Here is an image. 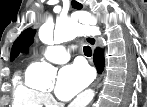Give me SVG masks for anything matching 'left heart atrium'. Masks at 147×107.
I'll use <instances>...</instances> for the list:
<instances>
[{"instance_id": "left-heart-atrium-1", "label": "left heart atrium", "mask_w": 147, "mask_h": 107, "mask_svg": "<svg viewBox=\"0 0 147 107\" xmlns=\"http://www.w3.org/2000/svg\"><path fill=\"white\" fill-rule=\"evenodd\" d=\"M90 81L91 72L87 66L81 63L67 65L58 74L55 94L61 100H70L81 92Z\"/></svg>"}]
</instances>
